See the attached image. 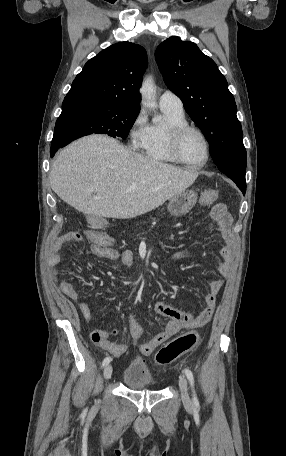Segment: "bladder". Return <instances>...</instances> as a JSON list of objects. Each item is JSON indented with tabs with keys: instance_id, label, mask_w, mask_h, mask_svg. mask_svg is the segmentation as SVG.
<instances>
[{
	"instance_id": "31cf9c89",
	"label": "bladder",
	"mask_w": 286,
	"mask_h": 456,
	"mask_svg": "<svg viewBox=\"0 0 286 456\" xmlns=\"http://www.w3.org/2000/svg\"><path fill=\"white\" fill-rule=\"evenodd\" d=\"M123 384L133 390L152 389L153 378L142 362H131L123 374Z\"/></svg>"
}]
</instances>
